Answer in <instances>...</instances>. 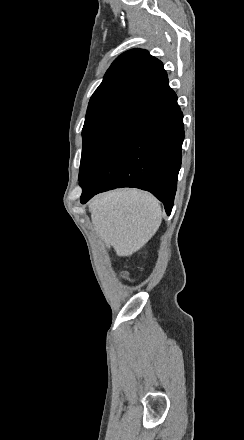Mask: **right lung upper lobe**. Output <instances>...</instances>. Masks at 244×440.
Instances as JSON below:
<instances>
[{"instance_id":"1","label":"right lung upper lobe","mask_w":244,"mask_h":440,"mask_svg":"<svg viewBox=\"0 0 244 440\" xmlns=\"http://www.w3.org/2000/svg\"><path fill=\"white\" fill-rule=\"evenodd\" d=\"M168 81L162 62L146 50L132 49L120 55L107 70L90 102L119 96L142 98Z\"/></svg>"}]
</instances>
